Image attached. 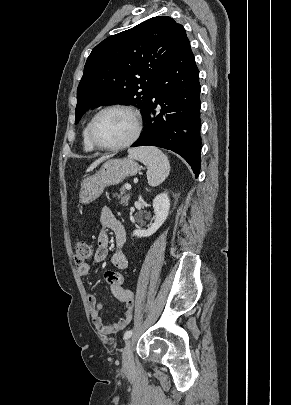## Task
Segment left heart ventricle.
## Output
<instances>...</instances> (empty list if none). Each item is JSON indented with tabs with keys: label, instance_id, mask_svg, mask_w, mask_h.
<instances>
[{
	"label": "left heart ventricle",
	"instance_id": "b2bd125f",
	"mask_svg": "<svg viewBox=\"0 0 291 405\" xmlns=\"http://www.w3.org/2000/svg\"><path fill=\"white\" fill-rule=\"evenodd\" d=\"M135 129L133 117L120 110L103 113L94 125V137L102 145H117L131 137Z\"/></svg>",
	"mask_w": 291,
	"mask_h": 405
}]
</instances>
